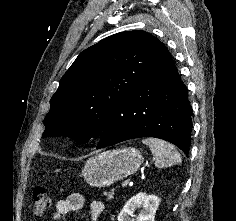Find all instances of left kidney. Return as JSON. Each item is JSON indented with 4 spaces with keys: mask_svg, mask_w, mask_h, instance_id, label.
<instances>
[{
    "mask_svg": "<svg viewBox=\"0 0 236 221\" xmlns=\"http://www.w3.org/2000/svg\"><path fill=\"white\" fill-rule=\"evenodd\" d=\"M159 203L160 199L157 196L140 192L127 201L118 215V221H129V216H133L137 208L143 209L137 218L132 221H155Z\"/></svg>",
    "mask_w": 236,
    "mask_h": 221,
    "instance_id": "5707ae66",
    "label": "left kidney"
}]
</instances>
